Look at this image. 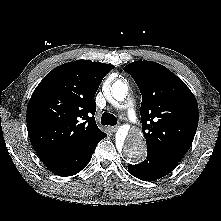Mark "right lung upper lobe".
I'll list each match as a JSON object with an SVG mask.
<instances>
[{
    "label": "right lung upper lobe",
    "instance_id": "cb5924a9",
    "mask_svg": "<svg viewBox=\"0 0 221 221\" xmlns=\"http://www.w3.org/2000/svg\"><path fill=\"white\" fill-rule=\"evenodd\" d=\"M114 66L77 60L49 72L27 107L31 143L43 163L77 149L103 133L95 122L94 96Z\"/></svg>",
    "mask_w": 221,
    "mask_h": 221
}]
</instances>
